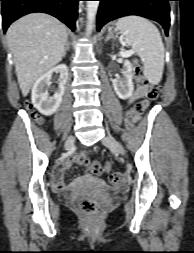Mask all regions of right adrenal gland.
<instances>
[{
    "instance_id": "2a0ac1e0",
    "label": "right adrenal gland",
    "mask_w": 194,
    "mask_h": 253,
    "mask_svg": "<svg viewBox=\"0 0 194 253\" xmlns=\"http://www.w3.org/2000/svg\"><path fill=\"white\" fill-rule=\"evenodd\" d=\"M68 50H69V41H68V38H67L65 53H64V56H63V57H65L66 51H68Z\"/></svg>"
}]
</instances>
